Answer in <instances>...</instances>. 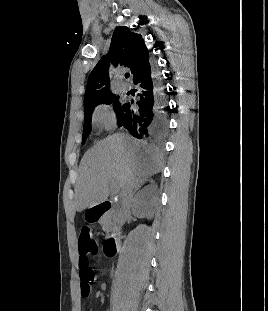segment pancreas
I'll list each match as a JSON object with an SVG mask.
<instances>
[{
  "mask_svg": "<svg viewBox=\"0 0 268 311\" xmlns=\"http://www.w3.org/2000/svg\"><path fill=\"white\" fill-rule=\"evenodd\" d=\"M100 224L102 226V230L108 233L111 230L114 223L110 215H105L104 217H102Z\"/></svg>",
  "mask_w": 268,
  "mask_h": 311,
  "instance_id": "pancreas-1",
  "label": "pancreas"
}]
</instances>
